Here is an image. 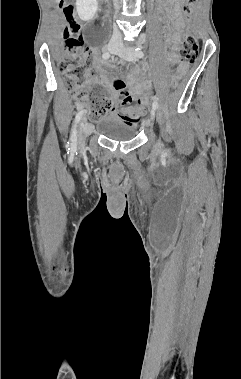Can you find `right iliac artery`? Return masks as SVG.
<instances>
[{
  "label": "right iliac artery",
  "instance_id": "82829eb1",
  "mask_svg": "<svg viewBox=\"0 0 241 379\" xmlns=\"http://www.w3.org/2000/svg\"><path fill=\"white\" fill-rule=\"evenodd\" d=\"M103 59H108L110 57L109 52L105 51L102 55ZM84 111L81 110L78 112V114L75 117L74 124L72 127L71 137H70V147L71 149H75L77 145V125L80 121V119L83 116Z\"/></svg>",
  "mask_w": 241,
  "mask_h": 379
}]
</instances>
